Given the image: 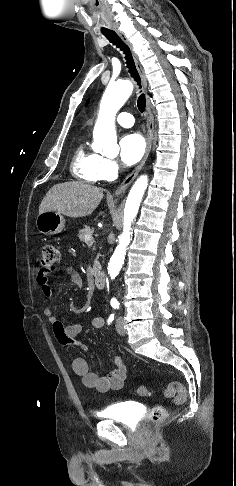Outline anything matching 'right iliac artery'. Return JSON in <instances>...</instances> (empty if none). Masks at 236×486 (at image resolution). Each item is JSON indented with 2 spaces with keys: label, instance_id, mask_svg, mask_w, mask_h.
Listing matches in <instances>:
<instances>
[{
  "label": "right iliac artery",
  "instance_id": "obj_1",
  "mask_svg": "<svg viewBox=\"0 0 236 486\" xmlns=\"http://www.w3.org/2000/svg\"><path fill=\"white\" fill-rule=\"evenodd\" d=\"M114 320V314H111L108 319V324H110Z\"/></svg>",
  "mask_w": 236,
  "mask_h": 486
}]
</instances>
